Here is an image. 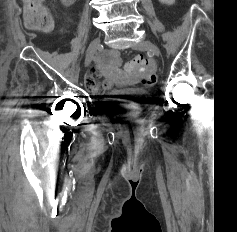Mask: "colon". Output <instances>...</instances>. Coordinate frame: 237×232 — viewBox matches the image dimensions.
I'll return each instance as SVG.
<instances>
[{"label": "colon", "instance_id": "colon-1", "mask_svg": "<svg viewBox=\"0 0 237 232\" xmlns=\"http://www.w3.org/2000/svg\"><path fill=\"white\" fill-rule=\"evenodd\" d=\"M174 0H160L163 5H171ZM44 0H23L24 22L32 31H49L53 27V18ZM126 70L139 77L143 84L152 85L156 81L155 68L142 56H137L128 62Z\"/></svg>", "mask_w": 237, "mask_h": 232}]
</instances>
